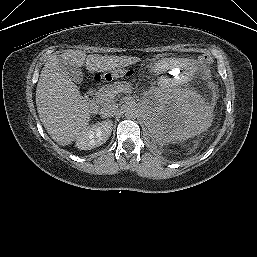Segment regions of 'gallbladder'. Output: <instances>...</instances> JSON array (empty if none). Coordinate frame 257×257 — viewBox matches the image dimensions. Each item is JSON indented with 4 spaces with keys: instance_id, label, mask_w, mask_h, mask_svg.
Masks as SVG:
<instances>
[{
    "instance_id": "obj_1",
    "label": "gallbladder",
    "mask_w": 257,
    "mask_h": 257,
    "mask_svg": "<svg viewBox=\"0 0 257 257\" xmlns=\"http://www.w3.org/2000/svg\"><path fill=\"white\" fill-rule=\"evenodd\" d=\"M59 62H60V66H61L62 70L65 72V74L71 81H73L77 84L82 83L83 73L79 68H75V67L67 64L60 56H59Z\"/></svg>"
}]
</instances>
